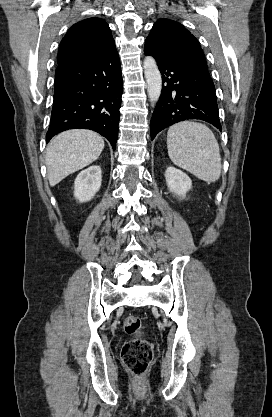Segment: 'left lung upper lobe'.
Listing matches in <instances>:
<instances>
[{
    "mask_svg": "<svg viewBox=\"0 0 272 417\" xmlns=\"http://www.w3.org/2000/svg\"><path fill=\"white\" fill-rule=\"evenodd\" d=\"M145 49L155 55L186 60L207 68L198 40L180 23L158 20L145 41Z\"/></svg>",
    "mask_w": 272,
    "mask_h": 417,
    "instance_id": "left-lung-upper-lobe-1",
    "label": "left lung upper lobe"
}]
</instances>
